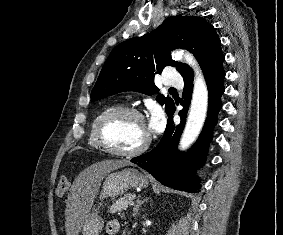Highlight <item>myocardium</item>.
Returning <instances> with one entry per match:
<instances>
[{
  "mask_svg": "<svg viewBox=\"0 0 283 235\" xmlns=\"http://www.w3.org/2000/svg\"><path fill=\"white\" fill-rule=\"evenodd\" d=\"M123 116H133L141 120L143 123H145L143 114L136 108H133V107L114 108L106 112L104 115H102L101 118L98 120L95 126V129H94L95 141L97 145L104 152L109 153L114 156L135 157V156L141 155L148 149L150 145L151 139H150L149 134H147L145 141L139 147H137L134 150H129V151L118 150L112 147L105 139L104 131H105L107 124L111 122L112 120H115Z\"/></svg>",
  "mask_w": 283,
  "mask_h": 235,
  "instance_id": "obj_1",
  "label": "myocardium"
}]
</instances>
